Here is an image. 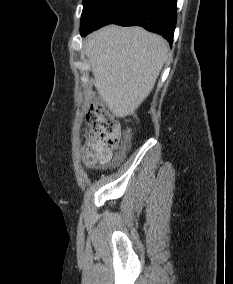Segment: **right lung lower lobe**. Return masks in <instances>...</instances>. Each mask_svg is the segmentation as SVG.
<instances>
[{
    "label": "right lung lower lobe",
    "mask_w": 233,
    "mask_h": 284,
    "mask_svg": "<svg viewBox=\"0 0 233 284\" xmlns=\"http://www.w3.org/2000/svg\"><path fill=\"white\" fill-rule=\"evenodd\" d=\"M176 10V0H111L80 31L83 36L107 24L138 25L162 35L172 44Z\"/></svg>",
    "instance_id": "1"
}]
</instances>
